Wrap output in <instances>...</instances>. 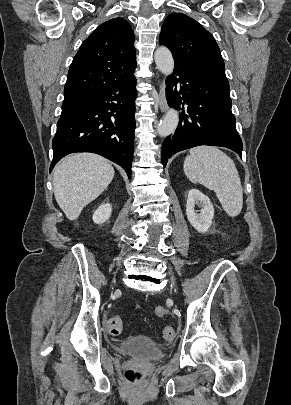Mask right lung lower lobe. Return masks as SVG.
<instances>
[{
  "label": "right lung lower lobe",
  "instance_id": "right-lung-lower-lobe-1",
  "mask_svg": "<svg viewBox=\"0 0 291 405\" xmlns=\"http://www.w3.org/2000/svg\"><path fill=\"white\" fill-rule=\"evenodd\" d=\"M136 78L114 83L61 116L52 141L55 164L74 152H93L119 164L131 177Z\"/></svg>",
  "mask_w": 291,
  "mask_h": 405
}]
</instances>
